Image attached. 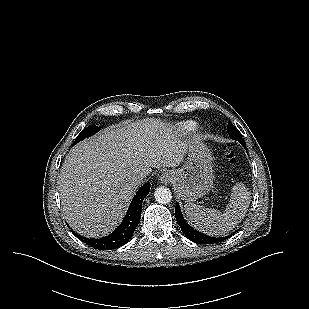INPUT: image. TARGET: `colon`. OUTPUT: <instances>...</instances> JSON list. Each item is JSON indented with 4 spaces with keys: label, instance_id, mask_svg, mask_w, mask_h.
Instances as JSON below:
<instances>
[{
    "label": "colon",
    "instance_id": "1",
    "mask_svg": "<svg viewBox=\"0 0 309 309\" xmlns=\"http://www.w3.org/2000/svg\"><path fill=\"white\" fill-rule=\"evenodd\" d=\"M225 158H226L228 164L230 165L231 170H233L234 169V165L236 163L235 153L233 151L227 149L226 153H225Z\"/></svg>",
    "mask_w": 309,
    "mask_h": 309
}]
</instances>
